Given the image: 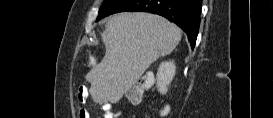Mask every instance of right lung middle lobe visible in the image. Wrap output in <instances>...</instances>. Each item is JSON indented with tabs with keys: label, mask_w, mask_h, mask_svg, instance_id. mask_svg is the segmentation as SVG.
<instances>
[{
	"label": "right lung middle lobe",
	"mask_w": 273,
	"mask_h": 118,
	"mask_svg": "<svg viewBox=\"0 0 273 118\" xmlns=\"http://www.w3.org/2000/svg\"><path fill=\"white\" fill-rule=\"evenodd\" d=\"M123 0H104L99 12L98 17L96 21H99L105 16H108L111 14L113 9L122 2Z\"/></svg>",
	"instance_id": "obj_1"
}]
</instances>
